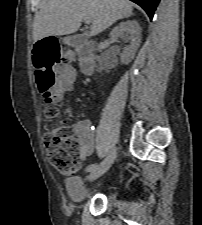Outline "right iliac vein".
Here are the masks:
<instances>
[{
  "label": "right iliac vein",
  "instance_id": "right-iliac-vein-1",
  "mask_svg": "<svg viewBox=\"0 0 202 225\" xmlns=\"http://www.w3.org/2000/svg\"><path fill=\"white\" fill-rule=\"evenodd\" d=\"M116 157V148H112L101 164L88 175L90 182L101 177L111 167Z\"/></svg>",
  "mask_w": 202,
  "mask_h": 225
}]
</instances>
